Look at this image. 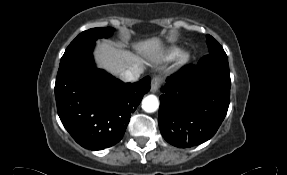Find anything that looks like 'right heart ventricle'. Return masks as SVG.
<instances>
[{"label":"right heart ventricle","mask_w":287,"mask_h":175,"mask_svg":"<svg viewBox=\"0 0 287 175\" xmlns=\"http://www.w3.org/2000/svg\"><path fill=\"white\" fill-rule=\"evenodd\" d=\"M179 53V48L176 46H172L170 47L165 54L162 56L163 60H170L172 58H174L175 56H177Z\"/></svg>","instance_id":"e07e8e85"}]
</instances>
